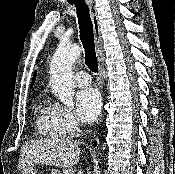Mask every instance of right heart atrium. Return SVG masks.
<instances>
[{
	"label": "right heart atrium",
	"mask_w": 175,
	"mask_h": 174,
	"mask_svg": "<svg viewBox=\"0 0 175 174\" xmlns=\"http://www.w3.org/2000/svg\"><path fill=\"white\" fill-rule=\"evenodd\" d=\"M54 114L59 129L65 136L75 135L80 129V122L71 110L54 105Z\"/></svg>",
	"instance_id": "1"
}]
</instances>
